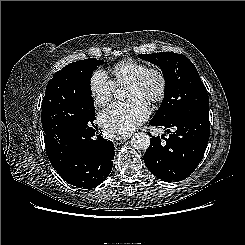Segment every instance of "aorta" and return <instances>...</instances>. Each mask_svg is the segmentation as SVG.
<instances>
[{
	"label": "aorta",
	"mask_w": 245,
	"mask_h": 245,
	"mask_svg": "<svg viewBox=\"0 0 245 245\" xmlns=\"http://www.w3.org/2000/svg\"><path fill=\"white\" fill-rule=\"evenodd\" d=\"M114 96L118 99H123L122 91H115ZM131 144L135 149L146 150L150 146V137L144 132L135 133L131 138Z\"/></svg>",
	"instance_id": "1"
}]
</instances>
